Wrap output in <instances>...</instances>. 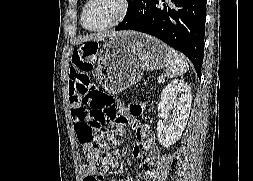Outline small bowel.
I'll return each mask as SVG.
<instances>
[{
  "mask_svg": "<svg viewBox=\"0 0 253 181\" xmlns=\"http://www.w3.org/2000/svg\"><path fill=\"white\" fill-rule=\"evenodd\" d=\"M93 67L92 57L85 56L81 59L73 60V66L69 76V97L70 101L76 97L87 93L90 89L89 73ZM142 114V107L139 105L133 106H120L118 108L117 124L115 129L108 134V139L117 144L120 136L123 135L127 124L132 125L136 132L137 142L131 149V156L134 160H140L142 158V147L146 151V163L148 165H154L159 159V149L155 143L154 136L149 132L148 128L140 125L137 122V118ZM118 161L114 158L108 159L104 167H90L85 165L83 168V181H109V178H105L104 174L100 172H106L111 169L118 168ZM94 172H97L95 174ZM90 178V179H89ZM143 180H147L146 176L142 177ZM111 181H129V180H116Z\"/></svg>",
  "mask_w": 253,
  "mask_h": 181,
  "instance_id": "1",
  "label": "small bowel"
}]
</instances>
